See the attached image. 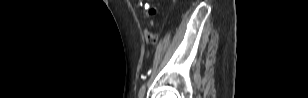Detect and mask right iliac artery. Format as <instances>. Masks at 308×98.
I'll return each mask as SVG.
<instances>
[{"label": "right iliac artery", "instance_id": "obj_1", "mask_svg": "<svg viewBox=\"0 0 308 98\" xmlns=\"http://www.w3.org/2000/svg\"><path fill=\"white\" fill-rule=\"evenodd\" d=\"M144 93H145V86H142L140 91H139V98H143Z\"/></svg>", "mask_w": 308, "mask_h": 98}]
</instances>
